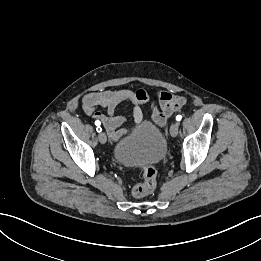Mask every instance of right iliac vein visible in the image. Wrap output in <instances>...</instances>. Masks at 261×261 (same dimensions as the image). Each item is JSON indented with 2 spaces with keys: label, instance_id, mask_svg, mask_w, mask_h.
Here are the masks:
<instances>
[{
  "label": "right iliac vein",
  "instance_id": "obj_1",
  "mask_svg": "<svg viewBox=\"0 0 261 261\" xmlns=\"http://www.w3.org/2000/svg\"><path fill=\"white\" fill-rule=\"evenodd\" d=\"M98 139L101 144H105L107 141L106 134L104 132H100L98 135Z\"/></svg>",
  "mask_w": 261,
  "mask_h": 261
}]
</instances>
